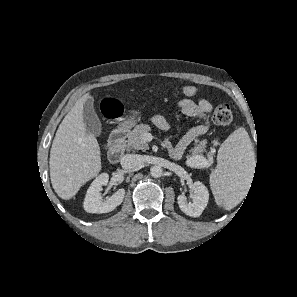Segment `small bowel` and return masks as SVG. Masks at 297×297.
<instances>
[{"label": "small bowel", "instance_id": "obj_1", "mask_svg": "<svg viewBox=\"0 0 297 297\" xmlns=\"http://www.w3.org/2000/svg\"><path fill=\"white\" fill-rule=\"evenodd\" d=\"M176 107L182 114L188 117L196 118L199 124L193 126L177 143H173L170 139H166L164 146L170 157L180 159L185 150L200 136L206 134L211 126L210 114L213 106L206 99H181L177 102ZM155 126L162 130L169 129V122L162 115H155L152 118Z\"/></svg>", "mask_w": 297, "mask_h": 297}]
</instances>
